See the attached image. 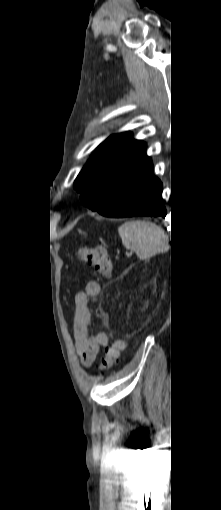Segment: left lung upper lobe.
I'll use <instances>...</instances> for the list:
<instances>
[{
  "label": "left lung upper lobe",
  "instance_id": "obj_1",
  "mask_svg": "<svg viewBox=\"0 0 221 510\" xmlns=\"http://www.w3.org/2000/svg\"><path fill=\"white\" fill-rule=\"evenodd\" d=\"M131 132L113 134L92 154L74 182L82 203L92 210L106 207L151 160L146 144Z\"/></svg>",
  "mask_w": 221,
  "mask_h": 510
}]
</instances>
